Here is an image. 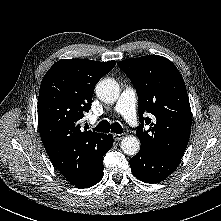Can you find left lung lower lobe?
<instances>
[{"mask_svg":"<svg viewBox=\"0 0 221 221\" xmlns=\"http://www.w3.org/2000/svg\"><path fill=\"white\" fill-rule=\"evenodd\" d=\"M180 162L178 159L160 157L140 150L130 159V166L133 175L139 180L157 183L171 175Z\"/></svg>","mask_w":221,"mask_h":221,"instance_id":"left-lung-lower-lobe-1","label":"left lung lower lobe"}]
</instances>
